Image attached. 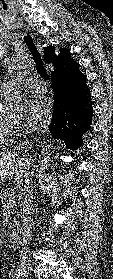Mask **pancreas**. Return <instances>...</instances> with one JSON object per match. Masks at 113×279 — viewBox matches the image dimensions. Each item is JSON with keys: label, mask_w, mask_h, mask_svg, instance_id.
<instances>
[{"label": "pancreas", "mask_w": 113, "mask_h": 279, "mask_svg": "<svg viewBox=\"0 0 113 279\" xmlns=\"http://www.w3.org/2000/svg\"><path fill=\"white\" fill-rule=\"evenodd\" d=\"M21 192L16 191L13 188H5L0 195L1 201L4 206H9L10 209L21 207ZM21 219V210L15 211V217L12 222L9 223L8 228L12 229L14 226L18 225Z\"/></svg>", "instance_id": "1"}]
</instances>
